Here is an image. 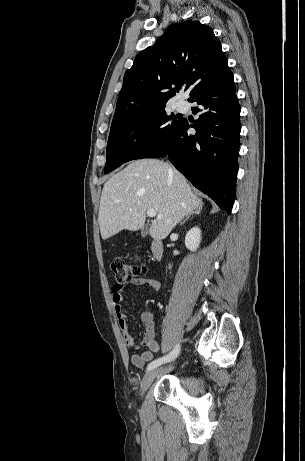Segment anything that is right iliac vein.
<instances>
[{
  "label": "right iliac vein",
  "mask_w": 305,
  "mask_h": 461,
  "mask_svg": "<svg viewBox=\"0 0 305 461\" xmlns=\"http://www.w3.org/2000/svg\"><path fill=\"white\" fill-rule=\"evenodd\" d=\"M157 373L158 369H152L145 374L140 386L141 394H143L147 390V388L152 384Z\"/></svg>",
  "instance_id": "63e3f726"
}]
</instances>
